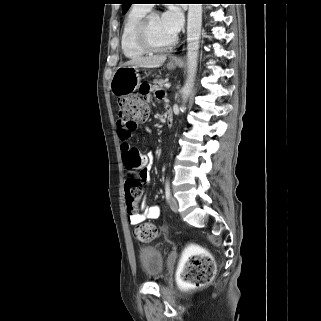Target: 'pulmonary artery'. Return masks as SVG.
<instances>
[{
	"instance_id": "pulmonary-artery-1",
	"label": "pulmonary artery",
	"mask_w": 321,
	"mask_h": 321,
	"mask_svg": "<svg viewBox=\"0 0 321 321\" xmlns=\"http://www.w3.org/2000/svg\"><path fill=\"white\" fill-rule=\"evenodd\" d=\"M144 6L147 7V8H149V9L152 7L151 4H145Z\"/></svg>"
}]
</instances>
